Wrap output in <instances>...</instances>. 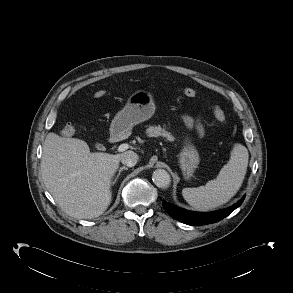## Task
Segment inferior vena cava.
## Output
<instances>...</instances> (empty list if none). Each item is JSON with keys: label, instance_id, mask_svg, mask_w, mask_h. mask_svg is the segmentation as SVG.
Here are the masks:
<instances>
[{"label": "inferior vena cava", "instance_id": "inferior-vena-cava-1", "mask_svg": "<svg viewBox=\"0 0 293 293\" xmlns=\"http://www.w3.org/2000/svg\"><path fill=\"white\" fill-rule=\"evenodd\" d=\"M121 162L128 167H133L138 162V155L133 151H127L122 154Z\"/></svg>", "mask_w": 293, "mask_h": 293}]
</instances>
